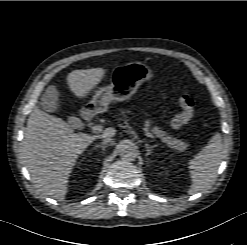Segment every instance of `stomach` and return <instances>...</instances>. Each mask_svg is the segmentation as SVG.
Listing matches in <instances>:
<instances>
[{
	"instance_id": "obj_1",
	"label": "stomach",
	"mask_w": 247,
	"mask_h": 245,
	"mask_svg": "<svg viewBox=\"0 0 247 245\" xmlns=\"http://www.w3.org/2000/svg\"><path fill=\"white\" fill-rule=\"evenodd\" d=\"M154 78L153 71L142 62L116 66L109 86L100 89L90 102L97 111H104L112 101H124L136 93L139 86Z\"/></svg>"
}]
</instances>
